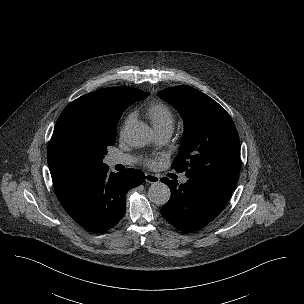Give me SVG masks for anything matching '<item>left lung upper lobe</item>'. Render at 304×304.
Here are the masks:
<instances>
[{"label":"left lung upper lobe","mask_w":304,"mask_h":304,"mask_svg":"<svg viewBox=\"0 0 304 304\" xmlns=\"http://www.w3.org/2000/svg\"><path fill=\"white\" fill-rule=\"evenodd\" d=\"M158 96L182 115L185 129L172 167L189 179L234 190L240 172L239 137L229 114L212 98L187 85Z\"/></svg>","instance_id":"obj_1"}]
</instances>
